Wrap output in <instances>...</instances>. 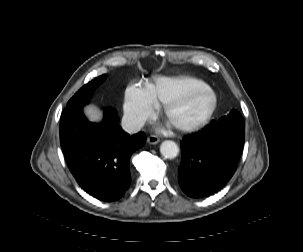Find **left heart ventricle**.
Returning <instances> with one entry per match:
<instances>
[{"instance_id": "b2bd125f", "label": "left heart ventricle", "mask_w": 303, "mask_h": 252, "mask_svg": "<svg viewBox=\"0 0 303 252\" xmlns=\"http://www.w3.org/2000/svg\"><path fill=\"white\" fill-rule=\"evenodd\" d=\"M207 104V96L205 92L198 93L193 99L175 109L170 117L173 124L189 123L197 120L204 112Z\"/></svg>"}]
</instances>
